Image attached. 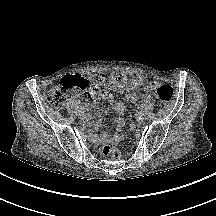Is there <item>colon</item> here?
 I'll return each instance as SVG.
<instances>
[{
  "label": "colon",
  "instance_id": "obj_1",
  "mask_svg": "<svg viewBox=\"0 0 216 216\" xmlns=\"http://www.w3.org/2000/svg\"><path fill=\"white\" fill-rule=\"evenodd\" d=\"M95 81L99 83L100 79L97 78ZM89 88H91L90 82L86 78L77 74L67 75L62 78L58 86L46 93L45 98L51 106L61 109L72 96L80 92H87ZM156 95L163 103H169L174 96L173 88L167 84L157 85ZM99 152L112 159L121 158L120 150L112 145L101 146Z\"/></svg>",
  "mask_w": 216,
  "mask_h": 216
}]
</instances>
